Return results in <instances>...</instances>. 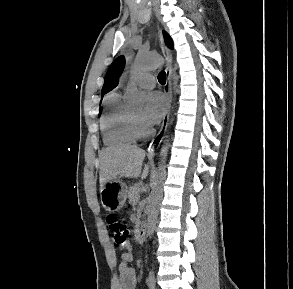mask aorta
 <instances>
[{
    "mask_svg": "<svg viewBox=\"0 0 293 289\" xmlns=\"http://www.w3.org/2000/svg\"><path fill=\"white\" fill-rule=\"evenodd\" d=\"M164 64V60L158 56H151L147 54H139L132 68V74L137 75L142 72L157 69ZM173 83L176 86L178 83V76L175 70H170ZM127 98L132 105H141L145 100V94L137 89L135 85L130 86L127 92ZM169 149V140L167 139L160 150V159L158 163V170L153 182L152 191L149 196L147 207V223L146 233L151 237L154 233L158 218L159 205L163 195V182L166 178V159Z\"/></svg>",
    "mask_w": 293,
    "mask_h": 289,
    "instance_id": "1",
    "label": "aorta"
}]
</instances>
